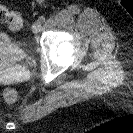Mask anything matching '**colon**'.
I'll return each instance as SVG.
<instances>
[{"instance_id":"colon-1","label":"colon","mask_w":133,"mask_h":133,"mask_svg":"<svg viewBox=\"0 0 133 133\" xmlns=\"http://www.w3.org/2000/svg\"><path fill=\"white\" fill-rule=\"evenodd\" d=\"M0 21L6 22L9 24V27L12 30H16L22 25V18L17 12H13L8 8L0 5ZM17 96L13 90H5L3 92V100L8 103H14Z\"/></svg>"}]
</instances>
